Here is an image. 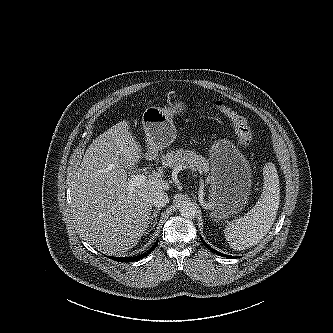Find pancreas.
<instances>
[{
	"mask_svg": "<svg viewBox=\"0 0 333 333\" xmlns=\"http://www.w3.org/2000/svg\"><path fill=\"white\" fill-rule=\"evenodd\" d=\"M162 165L167 168H181L207 174L210 171L209 162L200 154L190 150H171L162 156ZM210 178L207 179L209 182Z\"/></svg>",
	"mask_w": 333,
	"mask_h": 333,
	"instance_id": "pancreas-1",
	"label": "pancreas"
}]
</instances>
